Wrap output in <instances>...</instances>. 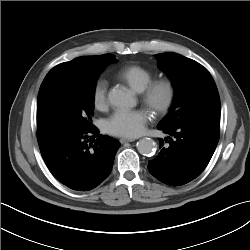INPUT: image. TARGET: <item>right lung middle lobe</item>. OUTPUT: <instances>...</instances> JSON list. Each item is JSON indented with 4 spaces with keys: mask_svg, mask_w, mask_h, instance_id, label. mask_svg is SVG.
I'll return each instance as SVG.
<instances>
[{
    "mask_svg": "<svg viewBox=\"0 0 250 250\" xmlns=\"http://www.w3.org/2000/svg\"><path fill=\"white\" fill-rule=\"evenodd\" d=\"M111 56L97 69L84 76L60 82L37 101L38 140L63 134L91 131L96 80L103 68L115 62Z\"/></svg>",
    "mask_w": 250,
    "mask_h": 250,
    "instance_id": "obj_1",
    "label": "right lung middle lobe"
}]
</instances>
